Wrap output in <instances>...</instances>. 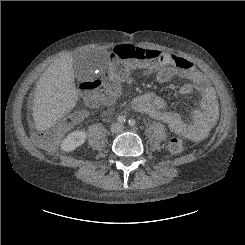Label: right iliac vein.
<instances>
[{
	"instance_id": "right-iliac-vein-1",
	"label": "right iliac vein",
	"mask_w": 245,
	"mask_h": 245,
	"mask_svg": "<svg viewBox=\"0 0 245 245\" xmlns=\"http://www.w3.org/2000/svg\"><path fill=\"white\" fill-rule=\"evenodd\" d=\"M116 127H117V126H114V127H112V129H113V128H116Z\"/></svg>"
}]
</instances>
